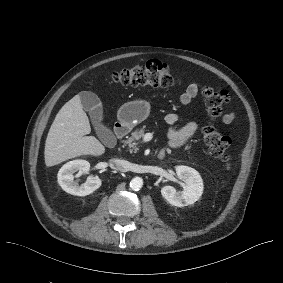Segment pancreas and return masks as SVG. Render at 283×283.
I'll use <instances>...</instances> for the list:
<instances>
[{
	"label": "pancreas",
	"mask_w": 283,
	"mask_h": 283,
	"mask_svg": "<svg viewBox=\"0 0 283 283\" xmlns=\"http://www.w3.org/2000/svg\"><path fill=\"white\" fill-rule=\"evenodd\" d=\"M145 128L137 129L134 132H132L131 137L126 141V143L131 147V151H137L136 145L133 144L134 141L139 140L144 136Z\"/></svg>",
	"instance_id": "obj_1"
}]
</instances>
